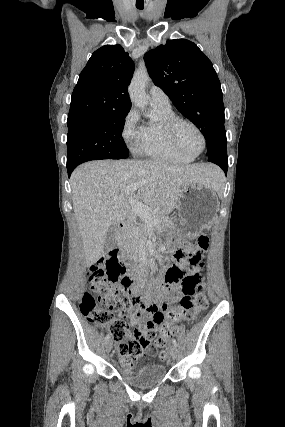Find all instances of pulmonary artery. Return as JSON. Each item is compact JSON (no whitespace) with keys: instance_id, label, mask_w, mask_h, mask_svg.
Segmentation results:
<instances>
[{"instance_id":"e3ab8cb5","label":"pulmonary artery","mask_w":285,"mask_h":427,"mask_svg":"<svg viewBox=\"0 0 285 427\" xmlns=\"http://www.w3.org/2000/svg\"><path fill=\"white\" fill-rule=\"evenodd\" d=\"M149 97L152 104L159 106H169L170 100L168 95L159 87H151L149 90Z\"/></svg>"}]
</instances>
